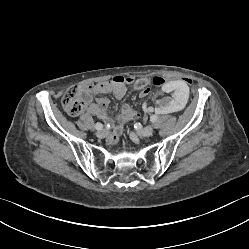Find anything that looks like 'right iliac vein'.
Here are the masks:
<instances>
[{
  "label": "right iliac vein",
  "mask_w": 249,
  "mask_h": 249,
  "mask_svg": "<svg viewBox=\"0 0 249 249\" xmlns=\"http://www.w3.org/2000/svg\"><path fill=\"white\" fill-rule=\"evenodd\" d=\"M107 135V131L105 129H100L96 132V136L98 138H104Z\"/></svg>",
  "instance_id": "63e3f726"
}]
</instances>
